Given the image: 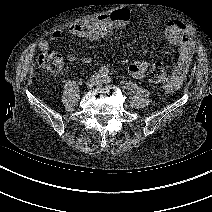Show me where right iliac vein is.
<instances>
[{"label": "right iliac vein", "mask_w": 212, "mask_h": 212, "mask_svg": "<svg viewBox=\"0 0 212 212\" xmlns=\"http://www.w3.org/2000/svg\"><path fill=\"white\" fill-rule=\"evenodd\" d=\"M97 82V78L93 77V78H90L87 83H86V86L87 88H92Z\"/></svg>", "instance_id": "obj_1"}]
</instances>
